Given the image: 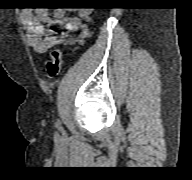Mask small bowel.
Returning <instances> with one entry per match:
<instances>
[{"mask_svg": "<svg viewBox=\"0 0 192 180\" xmlns=\"http://www.w3.org/2000/svg\"><path fill=\"white\" fill-rule=\"evenodd\" d=\"M90 11L81 9L77 16H66L63 10H57L52 15L44 9H27L21 13V22L27 32V41L30 47L38 54H45L51 47L58 44L60 40L53 29L49 27L63 26L66 32H79L78 41L83 44L91 36L89 28L83 20L89 19Z\"/></svg>", "mask_w": 192, "mask_h": 180, "instance_id": "c3829d8e", "label": "small bowel"}]
</instances>
